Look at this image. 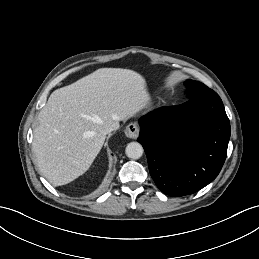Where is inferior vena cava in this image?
Masks as SVG:
<instances>
[{
	"mask_svg": "<svg viewBox=\"0 0 259 259\" xmlns=\"http://www.w3.org/2000/svg\"><path fill=\"white\" fill-rule=\"evenodd\" d=\"M116 130V128L114 126H108L103 130V134L107 135L110 134L112 131Z\"/></svg>",
	"mask_w": 259,
	"mask_h": 259,
	"instance_id": "1",
	"label": "inferior vena cava"
}]
</instances>
